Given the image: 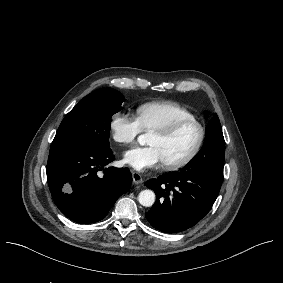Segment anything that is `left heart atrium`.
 <instances>
[{
    "label": "left heart atrium",
    "mask_w": 283,
    "mask_h": 283,
    "mask_svg": "<svg viewBox=\"0 0 283 283\" xmlns=\"http://www.w3.org/2000/svg\"><path fill=\"white\" fill-rule=\"evenodd\" d=\"M124 160L139 171L156 169L165 163L161 150L155 146L129 149L124 154Z\"/></svg>",
    "instance_id": "left-heart-atrium-1"
}]
</instances>
